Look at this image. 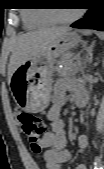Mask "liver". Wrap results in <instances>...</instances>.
<instances>
[{
    "label": "liver",
    "mask_w": 104,
    "mask_h": 169,
    "mask_svg": "<svg viewBox=\"0 0 104 169\" xmlns=\"http://www.w3.org/2000/svg\"><path fill=\"white\" fill-rule=\"evenodd\" d=\"M71 31L67 26L41 28L24 33L16 38L8 65V83L14 71L27 60L38 55L45 46L63 33Z\"/></svg>",
    "instance_id": "liver-1"
}]
</instances>
